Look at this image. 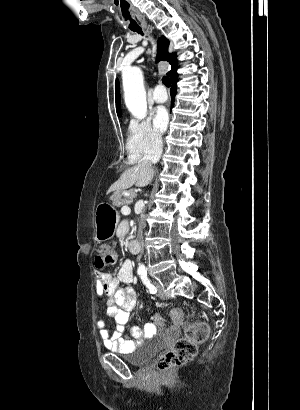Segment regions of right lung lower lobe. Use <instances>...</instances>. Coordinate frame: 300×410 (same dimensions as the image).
I'll return each mask as SVG.
<instances>
[{"instance_id": "obj_1", "label": "right lung lower lobe", "mask_w": 300, "mask_h": 410, "mask_svg": "<svg viewBox=\"0 0 300 410\" xmlns=\"http://www.w3.org/2000/svg\"><path fill=\"white\" fill-rule=\"evenodd\" d=\"M177 81H178V79H177V73L171 78V82H172V89H171V98H172V101H171V108L173 107V105H174V101H175V95H176V89H177V86H176V83H177Z\"/></svg>"}]
</instances>
